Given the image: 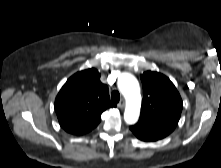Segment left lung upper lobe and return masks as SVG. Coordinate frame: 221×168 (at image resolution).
<instances>
[{
    "instance_id": "5c2ea615",
    "label": "left lung upper lobe",
    "mask_w": 221,
    "mask_h": 168,
    "mask_svg": "<svg viewBox=\"0 0 221 168\" xmlns=\"http://www.w3.org/2000/svg\"><path fill=\"white\" fill-rule=\"evenodd\" d=\"M143 101L137 124L130 127L135 135L162 139L177 126L182 112V99L169 78L147 71L141 76Z\"/></svg>"
}]
</instances>
